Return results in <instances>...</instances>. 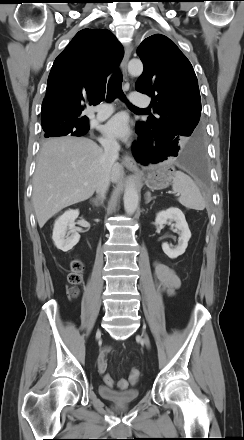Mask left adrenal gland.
I'll use <instances>...</instances> for the list:
<instances>
[{
	"label": "left adrenal gland",
	"instance_id": "obj_1",
	"mask_svg": "<svg viewBox=\"0 0 244 440\" xmlns=\"http://www.w3.org/2000/svg\"><path fill=\"white\" fill-rule=\"evenodd\" d=\"M156 197L154 196V197H151V193L150 192H147L146 193V197H145V200H146V204H148V203H150L151 202V200H154Z\"/></svg>",
	"mask_w": 244,
	"mask_h": 440
}]
</instances>
